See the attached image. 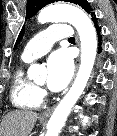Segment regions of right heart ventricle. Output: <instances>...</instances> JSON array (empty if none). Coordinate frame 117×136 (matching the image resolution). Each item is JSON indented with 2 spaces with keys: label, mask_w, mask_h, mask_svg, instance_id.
<instances>
[{
  "label": "right heart ventricle",
  "mask_w": 117,
  "mask_h": 136,
  "mask_svg": "<svg viewBox=\"0 0 117 136\" xmlns=\"http://www.w3.org/2000/svg\"><path fill=\"white\" fill-rule=\"evenodd\" d=\"M10 96L15 107L26 110L39 108L43 101L40 89L25 75L23 68L13 76Z\"/></svg>",
  "instance_id": "right-heart-ventricle-1"
}]
</instances>
